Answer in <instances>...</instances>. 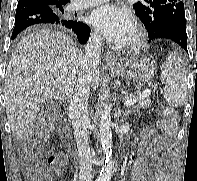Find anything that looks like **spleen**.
<instances>
[{"label":"spleen","mask_w":197,"mask_h":181,"mask_svg":"<svg viewBox=\"0 0 197 181\" xmlns=\"http://www.w3.org/2000/svg\"><path fill=\"white\" fill-rule=\"evenodd\" d=\"M164 99L172 107L182 106L187 97V76L184 63L177 52L169 53L161 67Z\"/></svg>","instance_id":"obj_1"}]
</instances>
